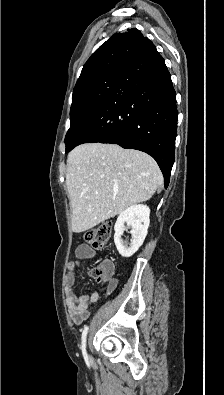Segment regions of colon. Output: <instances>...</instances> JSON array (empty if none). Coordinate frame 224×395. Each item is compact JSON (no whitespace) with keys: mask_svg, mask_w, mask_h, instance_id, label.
<instances>
[{"mask_svg":"<svg viewBox=\"0 0 224 395\" xmlns=\"http://www.w3.org/2000/svg\"><path fill=\"white\" fill-rule=\"evenodd\" d=\"M112 233V225L109 223L98 225L84 234L85 241L94 249H103ZM90 275L96 281H104L111 274V264L104 262L90 269Z\"/></svg>","mask_w":224,"mask_h":395,"instance_id":"5ec220e1","label":"colon"}]
</instances>
